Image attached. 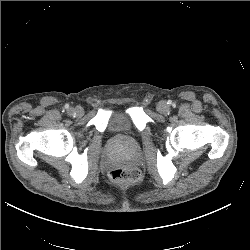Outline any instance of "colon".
<instances>
[{"label":"colon","mask_w":250,"mask_h":250,"mask_svg":"<svg viewBox=\"0 0 250 250\" xmlns=\"http://www.w3.org/2000/svg\"><path fill=\"white\" fill-rule=\"evenodd\" d=\"M109 178L116 184L137 182L140 179V173L128 167H116L109 172Z\"/></svg>","instance_id":"colon-1"}]
</instances>
